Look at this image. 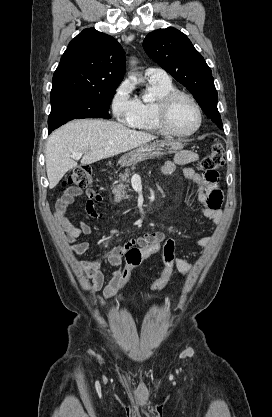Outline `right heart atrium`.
<instances>
[{"label":"right heart atrium","mask_w":272,"mask_h":417,"mask_svg":"<svg viewBox=\"0 0 272 417\" xmlns=\"http://www.w3.org/2000/svg\"><path fill=\"white\" fill-rule=\"evenodd\" d=\"M111 110L114 117L125 124H130L137 111V99L132 96V87L123 81L116 88L111 99Z\"/></svg>","instance_id":"right-heart-atrium-1"}]
</instances>
